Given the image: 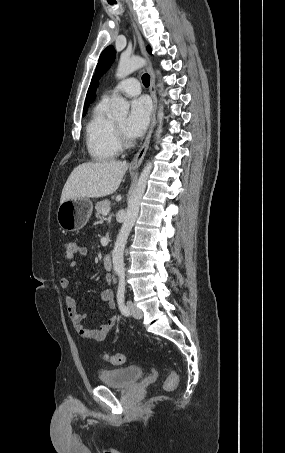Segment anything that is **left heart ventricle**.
Masks as SVG:
<instances>
[{"mask_svg":"<svg viewBox=\"0 0 285 453\" xmlns=\"http://www.w3.org/2000/svg\"><path fill=\"white\" fill-rule=\"evenodd\" d=\"M126 118L123 117V118H120L116 121V123L125 131V127H126Z\"/></svg>","mask_w":285,"mask_h":453,"instance_id":"obj_1","label":"left heart ventricle"}]
</instances>
